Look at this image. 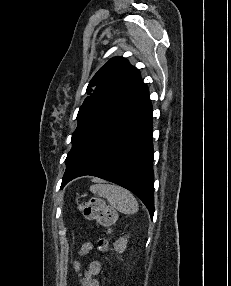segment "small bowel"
Here are the masks:
<instances>
[{"label":"small bowel","instance_id":"obj_1","mask_svg":"<svg viewBox=\"0 0 231 286\" xmlns=\"http://www.w3.org/2000/svg\"><path fill=\"white\" fill-rule=\"evenodd\" d=\"M93 250V244L91 242H86L81 246L79 251L81 256H84ZM76 273L81 276L82 283L84 286H99L98 282L94 277L99 274L101 270V264L99 261L94 260L90 263L86 271H82L81 264L75 261L73 264Z\"/></svg>","mask_w":231,"mask_h":286}]
</instances>
